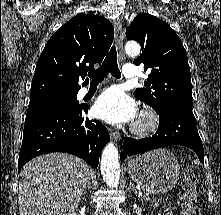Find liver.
Here are the masks:
<instances>
[{
	"mask_svg": "<svg viewBox=\"0 0 221 215\" xmlns=\"http://www.w3.org/2000/svg\"><path fill=\"white\" fill-rule=\"evenodd\" d=\"M90 175L88 164L71 154L51 153L33 158L19 174V215L74 212Z\"/></svg>",
	"mask_w": 221,
	"mask_h": 215,
	"instance_id": "obj_1",
	"label": "liver"
}]
</instances>
